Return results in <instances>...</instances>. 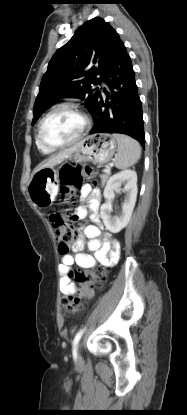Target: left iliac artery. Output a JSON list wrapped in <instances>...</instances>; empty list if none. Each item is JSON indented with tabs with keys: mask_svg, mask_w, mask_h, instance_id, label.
Here are the masks:
<instances>
[{
	"mask_svg": "<svg viewBox=\"0 0 187 415\" xmlns=\"http://www.w3.org/2000/svg\"><path fill=\"white\" fill-rule=\"evenodd\" d=\"M83 332H84V329H81L76 335H75V338H74V340H73V351L74 352H76V350H77V345H78V342L80 341V339H81V337H82V335H83Z\"/></svg>",
	"mask_w": 187,
	"mask_h": 415,
	"instance_id": "obj_1",
	"label": "left iliac artery"
}]
</instances>
